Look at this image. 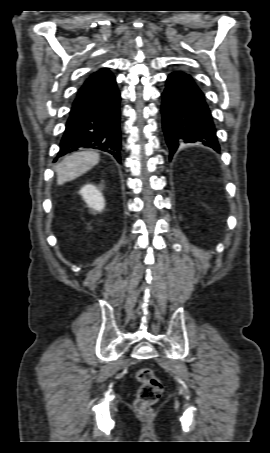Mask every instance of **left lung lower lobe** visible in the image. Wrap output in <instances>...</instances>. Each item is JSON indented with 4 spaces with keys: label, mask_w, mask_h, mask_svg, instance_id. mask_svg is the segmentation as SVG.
<instances>
[{
    "label": "left lung lower lobe",
    "mask_w": 270,
    "mask_h": 453,
    "mask_svg": "<svg viewBox=\"0 0 270 453\" xmlns=\"http://www.w3.org/2000/svg\"><path fill=\"white\" fill-rule=\"evenodd\" d=\"M162 96L163 130L170 160L185 143H201L219 152L211 111L204 93L189 74L171 73Z\"/></svg>",
    "instance_id": "obj_1"
}]
</instances>
